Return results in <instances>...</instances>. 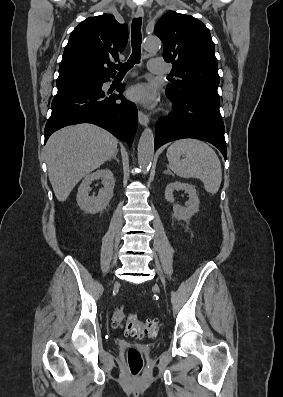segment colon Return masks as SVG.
<instances>
[{
    "mask_svg": "<svg viewBox=\"0 0 283 397\" xmlns=\"http://www.w3.org/2000/svg\"><path fill=\"white\" fill-rule=\"evenodd\" d=\"M112 322L116 326H124L127 336L144 339L155 338L160 331V325L156 319L142 321L134 315H128L123 307L115 306L112 310ZM129 371L133 376L141 374L143 369V357L139 350L130 348L127 352Z\"/></svg>",
    "mask_w": 283,
    "mask_h": 397,
    "instance_id": "colon-1",
    "label": "colon"
}]
</instances>
